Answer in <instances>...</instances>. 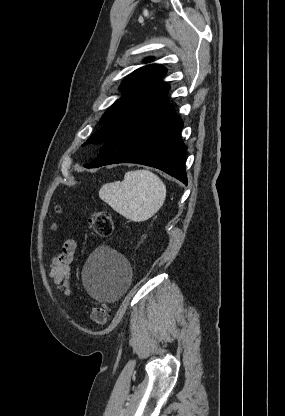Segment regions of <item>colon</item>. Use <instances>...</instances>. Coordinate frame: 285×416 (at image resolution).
<instances>
[{
	"instance_id": "1",
	"label": "colon",
	"mask_w": 285,
	"mask_h": 416,
	"mask_svg": "<svg viewBox=\"0 0 285 416\" xmlns=\"http://www.w3.org/2000/svg\"><path fill=\"white\" fill-rule=\"evenodd\" d=\"M89 224L94 233L101 237H109L113 230L112 216L109 212L102 210L97 211L89 218ZM112 315L109 306L99 303L92 307L90 312V319L93 323L104 326L108 323Z\"/></svg>"
}]
</instances>
